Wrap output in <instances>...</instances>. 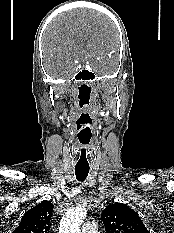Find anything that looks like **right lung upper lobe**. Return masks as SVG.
<instances>
[{
	"label": "right lung upper lobe",
	"mask_w": 174,
	"mask_h": 233,
	"mask_svg": "<svg viewBox=\"0 0 174 233\" xmlns=\"http://www.w3.org/2000/svg\"><path fill=\"white\" fill-rule=\"evenodd\" d=\"M53 208L50 201L37 204L24 214L13 233H49Z\"/></svg>",
	"instance_id": "obj_1"
}]
</instances>
